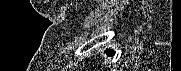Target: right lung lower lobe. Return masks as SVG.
<instances>
[{"label":"right lung lower lobe","mask_w":181,"mask_h":71,"mask_svg":"<svg viewBox=\"0 0 181 71\" xmlns=\"http://www.w3.org/2000/svg\"><path fill=\"white\" fill-rule=\"evenodd\" d=\"M106 53L109 55V56H113L115 54L114 51H111L109 49L106 50Z\"/></svg>","instance_id":"1"}]
</instances>
